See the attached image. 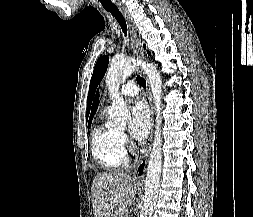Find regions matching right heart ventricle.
I'll return each mask as SVG.
<instances>
[{"label": "right heart ventricle", "mask_w": 253, "mask_h": 217, "mask_svg": "<svg viewBox=\"0 0 253 217\" xmlns=\"http://www.w3.org/2000/svg\"><path fill=\"white\" fill-rule=\"evenodd\" d=\"M93 158L107 171H116L128 165V156L120 133L104 123L98 124L91 136Z\"/></svg>", "instance_id": "obj_1"}]
</instances>
